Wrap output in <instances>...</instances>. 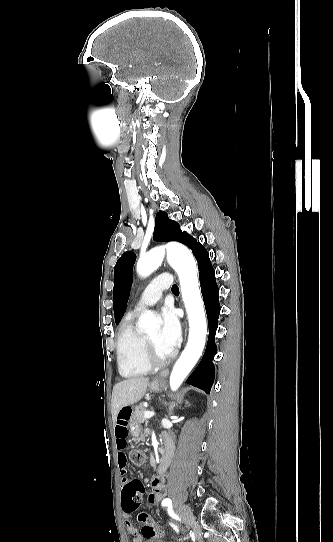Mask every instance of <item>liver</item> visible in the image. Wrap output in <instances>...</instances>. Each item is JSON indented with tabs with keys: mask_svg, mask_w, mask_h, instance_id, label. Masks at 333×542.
Instances as JSON below:
<instances>
[{
	"mask_svg": "<svg viewBox=\"0 0 333 542\" xmlns=\"http://www.w3.org/2000/svg\"><path fill=\"white\" fill-rule=\"evenodd\" d=\"M150 378H128L115 384L112 392L111 414L114 426L117 416L124 406H132L142 400L146 394Z\"/></svg>",
	"mask_w": 333,
	"mask_h": 542,
	"instance_id": "liver-1",
	"label": "liver"
}]
</instances>
